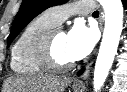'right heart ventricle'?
Masks as SVG:
<instances>
[{"label": "right heart ventricle", "mask_w": 127, "mask_h": 92, "mask_svg": "<svg viewBox=\"0 0 127 92\" xmlns=\"http://www.w3.org/2000/svg\"><path fill=\"white\" fill-rule=\"evenodd\" d=\"M56 25L45 13L34 18L25 26L11 49L10 67L15 73L35 75L47 70L38 61L35 49L39 37Z\"/></svg>", "instance_id": "obj_1"}]
</instances>
